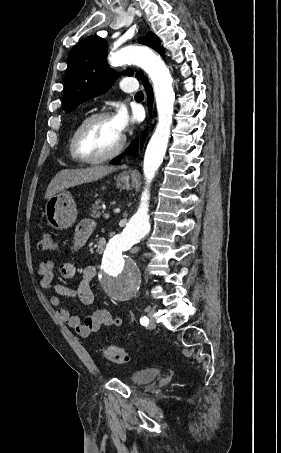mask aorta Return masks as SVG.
I'll list each match as a JSON object with an SVG mask.
<instances>
[{"label":"aorta","instance_id":"aorta-1","mask_svg":"<svg viewBox=\"0 0 281 453\" xmlns=\"http://www.w3.org/2000/svg\"><path fill=\"white\" fill-rule=\"evenodd\" d=\"M111 65L133 64L142 68L153 84L158 123L147 145L143 173L146 187L142 192L140 206L131 217L122 233L108 242L104 251L101 269V285L105 293L115 301L132 298L138 291L141 276L136 263L125 256L133 244L139 243L150 231L149 187L166 153L172 125L175 94L173 80L164 61L147 47H126L108 57Z\"/></svg>","mask_w":281,"mask_h":453}]
</instances>
